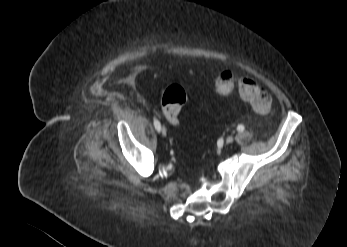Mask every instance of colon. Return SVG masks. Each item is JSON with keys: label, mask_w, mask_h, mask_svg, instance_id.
I'll use <instances>...</instances> for the list:
<instances>
[{"label": "colon", "mask_w": 347, "mask_h": 247, "mask_svg": "<svg viewBox=\"0 0 347 247\" xmlns=\"http://www.w3.org/2000/svg\"><path fill=\"white\" fill-rule=\"evenodd\" d=\"M215 89L222 96H228L237 89L257 113H266L270 110L272 102L270 93L252 79L240 78L231 71H223L215 80ZM187 98L188 92L178 84L170 85L162 94L161 110L174 127L179 126V115Z\"/></svg>", "instance_id": "1"}]
</instances>
